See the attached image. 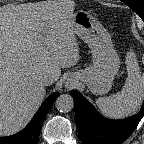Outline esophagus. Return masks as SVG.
Here are the masks:
<instances>
[{"mask_svg":"<svg viewBox=\"0 0 144 144\" xmlns=\"http://www.w3.org/2000/svg\"><path fill=\"white\" fill-rule=\"evenodd\" d=\"M65 88H66L67 90L72 89V88H73L72 82H66V83H65Z\"/></svg>","mask_w":144,"mask_h":144,"instance_id":"obj_1","label":"esophagus"}]
</instances>
